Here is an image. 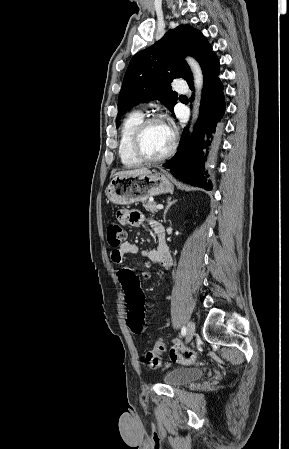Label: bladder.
Instances as JSON below:
<instances>
[{"mask_svg": "<svg viewBox=\"0 0 289 449\" xmlns=\"http://www.w3.org/2000/svg\"><path fill=\"white\" fill-rule=\"evenodd\" d=\"M203 375L204 370L200 368H177L165 375L164 382L171 387H180L200 379Z\"/></svg>", "mask_w": 289, "mask_h": 449, "instance_id": "obj_1", "label": "bladder"}]
</instances>
